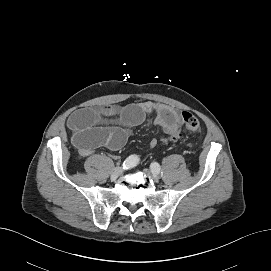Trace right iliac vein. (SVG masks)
Wrapping results in <instances>:
<instances>
[{
	"label": "right iliac vein",
	"instance_id": "63e3f726",
	"mask_svg": "<svg viewBox=\"0 0 271 271\" xmlns=\"http://www.w3.org/2000/svg\"><path fill=\"white\" fill-rule=\"evenodd\" d=\"M123 173V169L121 167H116L111 172V179L116 180Z\"/></svg>",
	"mask_w": 271,
	"mask_h": 271
}]
</instances>
